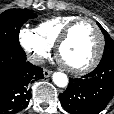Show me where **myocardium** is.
<instances>
[{
    "label": "myocardium",
    "instance_id": "obj_1",
    "mask_svg": "<svg viewBox=\"0 0 114 114\" xmlns=\"http://www.w3.org/2000/svg\"><path fill=\"white\" fill-rule=\"evenodd\" d=\"M84 21L91 23L93 25V27L95 28V30L98 34V38H99V45H98L97 52H96L95 56L93 57V59L87 65H85L83 67L76 68V67L69 66L68 64H66L62 60L61 50H62L64 44L70 38L74 28L79 23L84 22ZM55 46H56V58L59 61V63L61 65H63L67 70H69L71 73L76 74V75H82V74H86L88 72H91L100 63L103 53H104V49H105V37H104V34H103L100 26L98 25V23L95 20H93L89 17H79V18L75 19L74 21L70 22L66 26V28L63 30V32L59 36Z\"/></svg>",
    "mask_w": 114,
    "mask_h": 114
}]
</instances>
